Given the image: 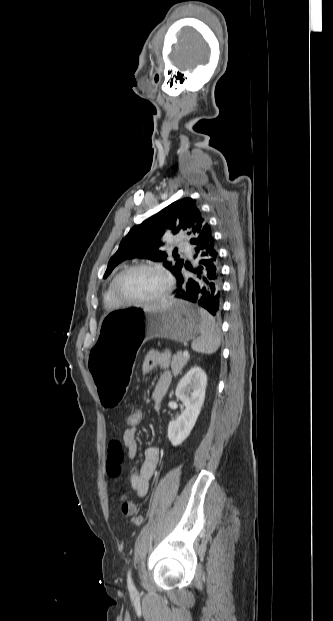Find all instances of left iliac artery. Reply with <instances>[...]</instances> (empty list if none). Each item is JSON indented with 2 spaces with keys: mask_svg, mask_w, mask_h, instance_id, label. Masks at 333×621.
Here are the masks:
<instances>
[{
  "mask_svg": "<svg viewBox=\"0 0 333 621\" xmlns=\"http://www.w3.org/2000/svg\"><path fill=\"white\" fill-rule=\"evenodd\" d=\"M127 584H128L129 590H131V591L135 590V586H134L133 580L131 578V570H129L128 574H127Z\"/></svg>",
  "mask_w": 333,
  "mask_h": 621,
  "instance_id": "1",
  "label": "left iliac artery"
}]
</instances>
